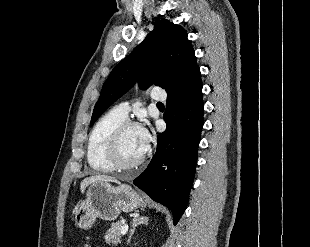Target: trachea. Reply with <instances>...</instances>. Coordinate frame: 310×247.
Here are the masks:
<instances>
[{
    "mask_svg": "<svg viewBox=\"0 0 310 247\" xmlns=\"http://www.w3.org/2000/svg\"><path fill=\"white\" fill-rule=\"evenodd\" d=\"M157 105H163V103H161V102H158V103H157Z\"/></svg>",
    "mask_w": 310,
    "mask_h": 247,
    "instance_id": "3493384b",
    "label": "trachea"
}]
</instances>
